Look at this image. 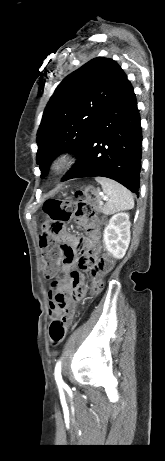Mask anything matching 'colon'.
<instances>
[{"mask_svg":"<svg viewBox=\"0 0 165 461\" xmlns=\"http://www.w3.org/2000/svg\"><path fill=\"white\" fill-rule=\"evenodd\" d=\"M96 191L93 188L79 190L75 193V201L50 199L44 203L43 210L49 219L42 224L40 244L44 249L43 259L45 263L44 274L51 279L56 274V265L60 261L61 251H73L68 245H61L57 238L62 234L63 224L74 214L78 218H91L93 209L89 200L93 199ZM89 262L100 270H109L112 260L107 256L91 258ZM102 281L96 279L92 283V292L97 294L102 289ZM67 332L66 324L62 318H55L49 327V336L52 344L58 345L63 342Z\"/></svg>","mask_w":165,"mask_h":461,"instance_id":"obj_1","label":"colon"}]
</instances>
